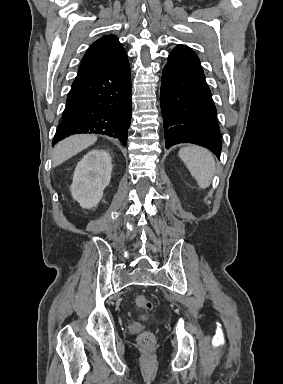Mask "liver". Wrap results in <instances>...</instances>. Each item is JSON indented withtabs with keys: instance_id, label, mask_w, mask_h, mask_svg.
Segmentation results:
<instances>
[{
	"instance_id": "1",
	"label": "liver",
	"mask_w": 283,
	"mask_h": 384,
	"mask_svg": "<svg viewBox=\"0 0 283 384\" xmlns=\"http://www.w3.org/2000/svg\"><path fill=\"white\" fill-rule=\"evenodd\" d=\"M97 140L95 134H77V136H69L59 144H56L52 156L53 166H60L75 154H79L82 150H86L89 146H93Z\"/></svg>"
}]
</instances>
